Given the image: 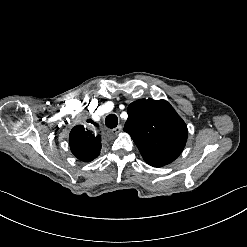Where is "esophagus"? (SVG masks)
<instances>
[{"instance_id": "1", "label": "esophagus", "mask_w": 247, "mask_h": 247, "mask_svg": "<svg viewBox=\"0 0 247 247\" xmlns=\"http://www.w3.org/2000/svg\"><path fill=\"white\" fill-rule=\"evenodd\" d=\"M121 129H122V125H118L116 128L111 130V133L116 135L121 131Z\"/></svg>"}]
</instances>
